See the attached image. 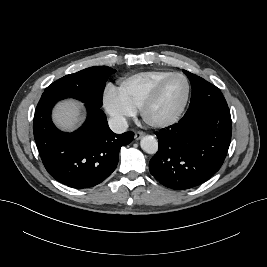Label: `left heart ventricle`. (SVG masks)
<instances>
[{
    "mask_svg": "<svg viewBox=\"0 0 267 267\" xmlns=\"http://www.w3.org/2000/svg\"><path fill=\"white\" fill-rule=\"evenodd\" d=\"M186 83L180 77L171 79L163 88L157 102L150 110L152 119H164L174 114L183 102Z\"/></svg>",
    "mask_w": 267,
    "mask_h": 267,
    "instance_id": "b2bd125f",
    "label": "left heart ventricle"
}]
</instances>
